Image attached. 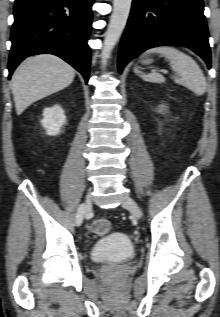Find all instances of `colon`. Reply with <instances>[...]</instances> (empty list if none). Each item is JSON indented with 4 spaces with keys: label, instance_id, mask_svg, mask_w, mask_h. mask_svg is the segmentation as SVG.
Instances as JSON below:
<instances>
[{
    "label": "colon",
    "instance_id": "colon-1",
    "mask_svg": "<svg viewBox=\"0 0 220 317\" xmlns=\"http://www.w3.org/2000/svg\"><path fill=\"white\" fill-rule=\"evenodd\" d=\"M110 223L109 221H107L106 219H96L93 223H92V231L96 234V235H105L110 231Z\"/></svg>",
    "mask_w": 220,
    "mask_h": 317
}]
</instances>
